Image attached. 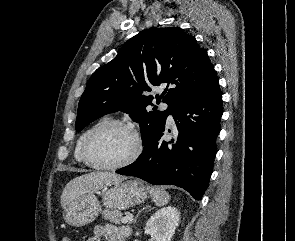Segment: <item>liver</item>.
I'll return each mask as SVG.
<instances>
[{
	"mask_svg": "<svg viewBox=\"0 0 295 241\" xmlns=\"http://www.w3.org/2000/svg\"><path fill=\"white\" fill-rule=\"evenodd\" d=\"M122 180H125L124 176L109 172H92L78 176L68 182L63 189L61 206L65 209L81 195L95 192Z\"/></svg>",
	"mask_w": 295,
	"mask_h": 241,
	"instance_id": "obj_1",
	"label": "liver"
}]
</instances>
